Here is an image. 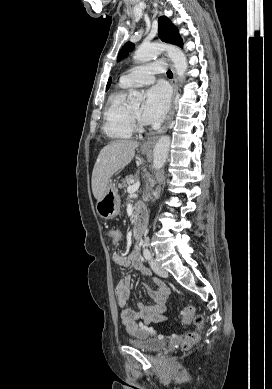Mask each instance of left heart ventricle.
<instances>
[{
	"instance_id": "left-heart-ventricle-1",
	"label": "left heart ventricle",
	"mask_w": 272,
	"mask_h": 389,
	"mask_svg": "<svg viewBox=\"0 0 272 389\" xmlns=\"http://www.w3.org/2000/svg\"><path fill=\"white\" fill-rule=\"evenodd\" d=\"M142 107H143V106H142L141 104H139V105L132 106L131 109H132V111H133L136 115H138V116L141 118Z\"/></svg>"
}]
</instances>
